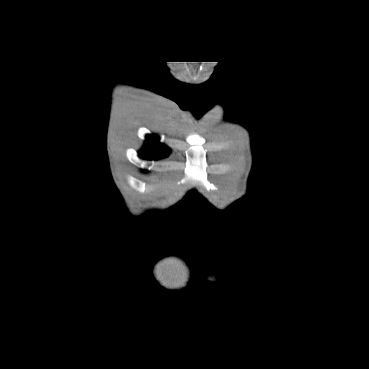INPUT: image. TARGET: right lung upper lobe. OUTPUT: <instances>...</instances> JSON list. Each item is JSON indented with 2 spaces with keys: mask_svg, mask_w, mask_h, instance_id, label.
Instances as JSON below:
<instances>
[{
  "mask_svg": "<svg viewBox=\"0 0 369 369\" xmlns=\"http://www.w3.org/2000/svg\"><path fill=\"white\" fill-rule=\"evenodd\" d=\"M169 148L159 142L156 135H148L146 145L139 152L140 157L149 160H158L166 157L169 154Z\"/></svg>",
  "mask_w": 369,
  "mask_h": 369,
  "instance_id": "obj_1",
  "label": "right lung upper lobe"
}]
</instances>
